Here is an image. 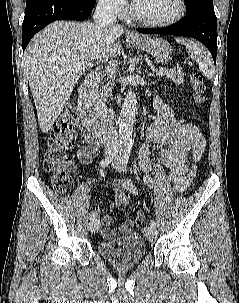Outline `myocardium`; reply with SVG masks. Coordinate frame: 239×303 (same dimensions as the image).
Wrapping results in <instances>:
<instances>
[{"instance_id": "obj_1", "label": "myocardium", "mask_w": 239, "mask_h": 303, "mask_svg": "<svg viewBox=\"0 0 239 303\" xmlns=\"http://www.w3.org/2000/svg\"><path fill=\"white\" fill-rule=\"evenodd\" d=\"M178 4H179L178 12L175 15H173L172 17L165 19V20L146 19L138 14L134 5L131 8V16L134 20H136L140 24H143L146 26H150V27L170 26V25H173V24L177 23L178 21H180L186 13V9H187L186 0H178Z\"/></svg>"}]
</instances>
